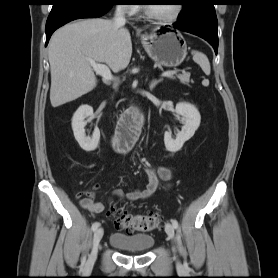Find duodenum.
Returning <instances> with one entry per match:
<instances>
[{"label":"duodenum","instance_id":"obj_1","mask_svg":"<svg viewBox=\"0 0 278 278\" xmlns=\"http://www.w3.org/2000/svg\"><path fill=\"white\" fill-rule=\"evenodd\" d=\"M145 122L143 113L138 108L127 111L118 121L113 136V145L119 151H125L128 144L135 142Z\"/></svg>","mask_w":278,"mask_h":278}]
</instances>
